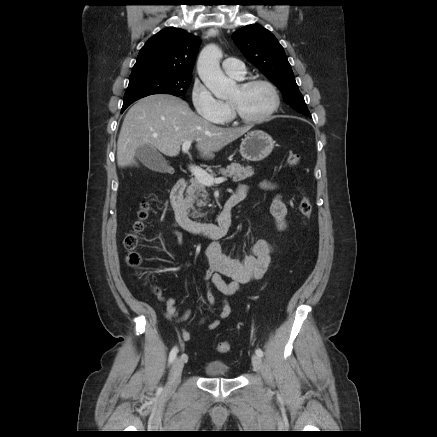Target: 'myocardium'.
Masks as SVG:
<instances>
[{"label":"myocardium","mask_w":437,"mask_h":437,"mask_svg":"<svg viewBox=\"0 0 437 437\" xmlns=\"http://www.w3.org/2000/svg\"><path fill=\"white\" fill-rule=\"evenodd\" d=\"M256 85H264L269 88V90L272 93L273 96V103L269 110L264 113L261 116L258 117H247L243 115L240 110L237 108V106L229 101V106L231 109L232 116L235 120L245 123V124H259L262 122H265L268 120L279 108L280 106V95L276 88V86L269 80L261 79V78H254V79H248L239 84V87L242 89H248L250 87L256 86Z\"/></svg>","instance_id":"1"}]
</instances>
